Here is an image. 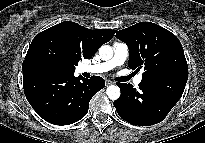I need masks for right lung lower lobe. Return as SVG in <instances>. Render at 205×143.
I'll return each instance as SVG.
<instances>
[{"label": "right lung lower lobe", "instance_id": "obj_1", "mask_svg": "<svg viewBox=\"0 0 205 143\" xmlns=\"http://www.w3.org/2000/svg\"><path fill=\"white\" fill-rule=\"evenodd\" d=\"M26 98L36 113L55 125H68L82 119L89 102L105 86L102 77H74V72L37 62H23Z\"/></svg>", "mask_w": 205, "mask_h": 143}]
</instances>
